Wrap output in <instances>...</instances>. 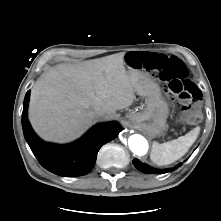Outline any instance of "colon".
Returning a JSON list of instances; mask_svg holds the SVG:
<instances>
[{
    "label": "colon",
    "mask_w": 221,
    "mask_h": 221,
    "mask_svg": "<svg viewBox=\"0 0 221 221\" xmlns=\"http://www.w3.org/2000/svg\"><path fill=\"white\" fill-rule=\"evenodd\" d=\"M128 61L133 68L147 69L154 77L160 79L167 91L178 98L182 113L190 123L200 121L201 113L196 106L200 94L188 78L187 67L179 58L146 52L142 56L130 54Z\"/></svg>",
    "instance_id": "obj_1"
}]
</instances>
